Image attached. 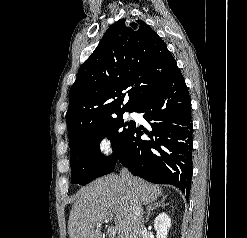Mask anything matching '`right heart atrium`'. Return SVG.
<instances>
[{"label":"right heart atrium","mask_w":247,"mask_h":238,"mask_svg":"<svg viewBox=\"0 0 247 238\" xmlns=\"http://www.w3.org/2000/svg\"><path fill=\"white\" fill-rule=\"evenodd\" d=\"M96 151L100 160H107L113 154V145L109 136L102 135L96 144Z\"/></svg>","instance_id":"right-heart-atrium-1"}]
</instances>
